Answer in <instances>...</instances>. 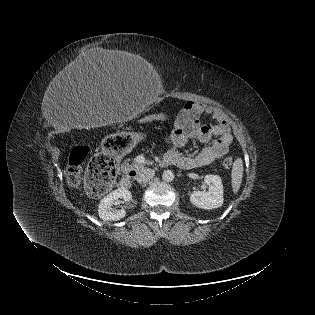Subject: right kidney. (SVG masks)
I'll use <instances>...</instances> for the list:
<instances>
[{
	"label": "right kidney",
	"instance_id": "right-kidney-1",
	"mask_svg": "<svg viewBox=\"0 0 315 315\" xmlns=\"http://www.w3.org/2000/svg\"><path fill=\"white\" fill-rule=\"evenodd\" d=\"M131 198V192L125 188H118L112 191L100 201L98 205L99 217L105 221H117L124 218L126 215L125 210H114L112 206L118 199H122L123 202H127L130 201Z\"/></svg>",
	"mask_w": 315,
	"mask_h": 315
}]
</instances>
